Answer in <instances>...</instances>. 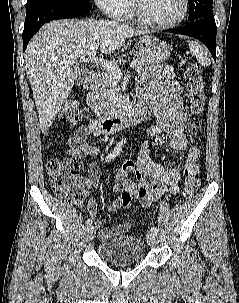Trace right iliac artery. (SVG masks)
I'll return each instance as SVG.
<instances>
[{
  "label": "right iliac artery",
  "instance_id": "1",
  "mask_svg": "<svg viewBox=\"0 0 239 303\" xmlns=\"http://www.w3.org/2000/svg\"><path fill=\"white\" fill-rule=\"evenodd\" d=\"M122 146H123V142H119L117 144V146L114 148V150L106 157V161L109 162V161L115 159L119 155V153H120V151L122 149ZM86 225L87 226H91L92 225V220L91 219H87Z\"/></svg>",
  "mask_w": 239,
  "mask_h": 303
}]
</instances>
